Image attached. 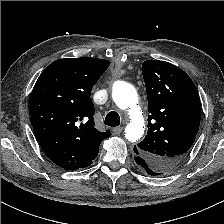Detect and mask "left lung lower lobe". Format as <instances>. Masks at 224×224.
<instances>
[{"instance_id": "left-lung-lower-lobe-1", "label": "left lung lower lobe", "mask_w": 224, "mask_h": 224, "mask_svg": "<svg viewBox=\"0 0 224 224\" xmlns=\"http://www.w3.org/2000/svg\"><path fill=\"white\" fill-rule=\"evenodd\" d=\"M134 159H135V162L137 163L138 168L140 169L141 172L151 175V176H154V174H155L154 171L151 169V167L145 162V160L141 156L136 155V157H134Z\"/></svg>"}]
</instances>
